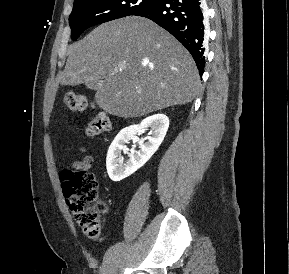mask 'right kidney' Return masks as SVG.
Listing matches in <instances>:
<instances>
[{"mask_svg": "<svg viewBox=\"0 0 289 274\" xmlns=\"http://www.w3.org/2000/svg\"><path fill=\"white\" fill-rule=\"evenodd\" d=\"M169 127V118L165 114H154L146 117L139 124L122 129L110 145L106 158L107 172L112 181H121L141 168L158 150ZM150 128L146 141H138L139 150L127 152L126 143ZM128 154L129 159L122 164L121 152Z\"/></svg>", "mask_w": 289, "mask_h": 274, "instance_id": "obj_1", "label": "right kidney"}]
</instances>
